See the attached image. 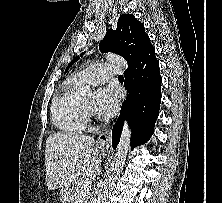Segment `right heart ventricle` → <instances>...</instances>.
Listing matches in <instances>:
<instances>
[{
    "instance_id": "obj_1",
    "label": "right heart ventricle",
    "mask_w": 222,
    "mask_h": 203,
    "mask_svg": "<svg viewBox=\"0 0 222 203\" xmlns=\"http://www.w3.org/2000/svg\"><path fill=\"white\" fill-rule=\"evenodd\" d=\"M80 85L76 79H69L52 103L53 123L63 133L78 134L86 128L87 110L79 94Z\"/></svg>"
}]
</instances>
